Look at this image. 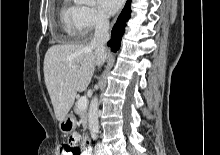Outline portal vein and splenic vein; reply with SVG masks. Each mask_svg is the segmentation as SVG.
<instances>
[{
    "instance_id": "obj_1",
    "label": "portal vein and splenic vein",
    "mask_w": 220,
    "mask_h": 155,
    "mask_svg": "<svg viewBox=\"0 0 220 155\" xmlns=\"http://www.w3.org/2000/svg\"><path fill=\"white\" fill-rule=\"evenodd\" d=\"M78 107L79 109L83 110L87 107V98L86 97H81L78 100Z\"/></svg>"
}]
</instances>
